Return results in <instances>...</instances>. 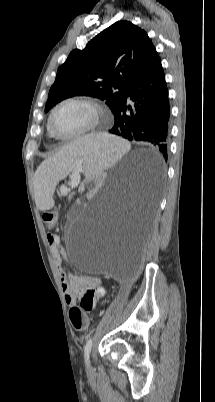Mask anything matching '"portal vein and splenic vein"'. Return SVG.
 <instances>
[{
    "label": "portal vein and splenic vein",
    "instance_id": "1",
    "mask_svg": "<svg viewBox=\"0 0 215 402\" xmlns=\"http://www.w3.org/2000/svg\"><path fill=\"white\" fill-rule=\"evenodd\" d=\"M79 184V179H75L72 181V186H77Z\"/></svg>",
    "mask_w": 215,
    "mask_h": 402
}]
</instances>
